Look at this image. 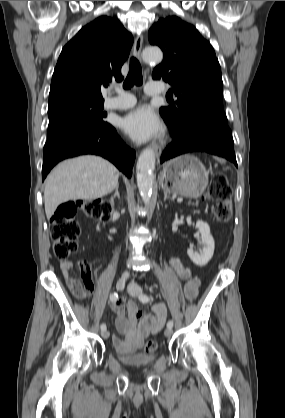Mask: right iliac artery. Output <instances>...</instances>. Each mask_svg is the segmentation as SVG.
<instances>
[{"instance_id":"1","label":"right iliac artery","mask_w":285,"mask_h":418,"mask_svg":"<svg viewBox=\"0 0 285 418\" xmlns=\"http://www.w3.org/2000/svg\"><path fill=\"white\" fill-rule=\"evenodd\" d=\"M118 298H119V295L117 292H114L110 295L111 302H116ZM100 328H101V331L106 330L107 329L106 324H101Z\"/></svg>"}]
</instances>
